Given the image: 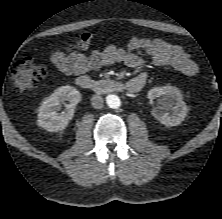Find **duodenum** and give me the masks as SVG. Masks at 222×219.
<instances>
[{"label": "duodenum", "mask_w": 222, "mask_h": 219, "mask_svg": "<svg viewBox=\"0 0 222 219\" xmlns=\"http://www.w3.org/2000/svg\"><path fill=\"white\" fill-rule=\"evenodd\" d=\"M76 83L82 89L98 93H103L108 91H128L135 93L138 92L143 87L142 83L136 81H130L128 83L115 79L97 81L87 76L78 77Z\"/></svg>", "instance_id": "duodenum-1"}]
</instances>
